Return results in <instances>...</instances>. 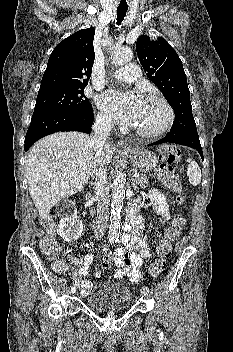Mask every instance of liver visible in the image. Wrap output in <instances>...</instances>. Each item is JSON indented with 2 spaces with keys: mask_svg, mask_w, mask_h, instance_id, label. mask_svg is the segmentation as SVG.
Wrapping results in <instances>:
<instances>
[{
  "mask_svg": "<svg viewBox=\"0 0 233 352\" xmlns=\"http://www.w3.org/2000/svg\"><path fill=\"white\" fill-rule=\"evenodd\" d=\"M112 155L110 145H105L106 165ZM93 157L92 138L80 132L54 133L32 146L25 174L41 219H46L59 201L83 190L91 175Z\"/></svg>",
  "mask_w": 233,
  "mask_h": 352,
  "instance_id": "1",
  "label": "liver"
}]
</instances>
